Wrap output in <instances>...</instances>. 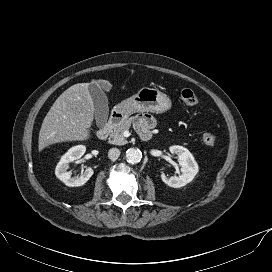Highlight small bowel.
Returning <instances> with one entry per match:
<instances>
[{"instance_id":"obj_1","label":"small bowel","mask_w":272,"mask_h":272,"mask_svg":"<svg viewBox=\"0 0 272 272\" xmlns=\"http://www.w3.org/2000/svg\"><path fill=\"white\" fill-rule=\"evenodd\" d=\"M154 126V120L151 116H141L136 122V128L143 139H148L150 136V130Z\"/></svg>"}]
</instances>
